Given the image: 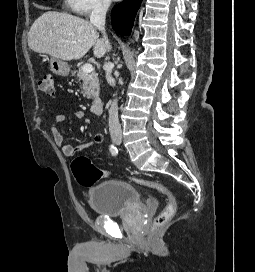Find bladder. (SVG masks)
<instances>
[{
    "mask_svg": "<svg viewBox=\"0 0 255 272\" xmlns=\"http://www.w3.org/2000/svg\"><path fill=\"white\" fill-rule=\"evenodd\" d=\"M87 198L96 214L107 217L124 215L140 203L137 189L120 180L100 182L88 191Z\"/></svg>",
    "mask_w": 255,
    "mask_h": 272,
    "instance_id": "1",
    "label": "bladder"
}]
</instances>
